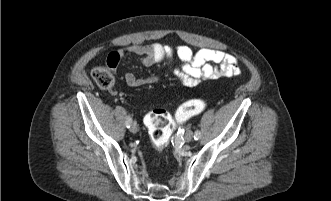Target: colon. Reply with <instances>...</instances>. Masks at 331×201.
Returning <instances> with one entry per match:
<instances>
[{
    "instance_id": "colon-1",
    "label": "colon",
    "mask_w": 331,
    "mask_h": 201,
    "mask_svg": "<svg viewBox=\"0 0 331 201\" xmlns=\"http://www.w3.org/2000/svg\"><path fill=\"white\" fill-rule=\"evenodd\" d=\"M111 67L100 66L92 71L94 81L102 89H110L113 86L114 78ZM205 107L206 104L203 100L194 99L180 106L175 116L163 109H156L148 113L145 124L154 147L158 150L163 149L168 144L176 126L201 112Z\"/></svg>"
}]
</instances>
